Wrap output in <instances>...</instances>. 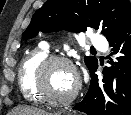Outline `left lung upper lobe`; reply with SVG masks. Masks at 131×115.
<instances>
[{"instance_id": "1", "label": "left lung upper lobe", "mask_w": 131, "mask_h": 115, "mask_svg": "<svg viewBox=\"0 0 131 115\" xmlns=\"http://www.w3.org/2000/svg\"><path fill=\"white\" fill-rule=\"evenodd\" d=\"M131 19L128 0H48L38 9L23 33L24 39L38 34L67 30L84 32L87 27L100 29L107 40ZM85 64L92 71L98 61L86 56Z\"/></svg>"}]
</instances>
